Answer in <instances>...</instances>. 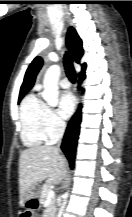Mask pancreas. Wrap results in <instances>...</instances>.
I'll list each match as a JSON object with an SVG mask.
<instances>
[{
  "label": "pancreas",
  "mask_w": 132,
  "mask_h": 217,
  "mask_svg": "<svg viewBox=\"0 0 132 217\" xmlns=\"http://www.w3.org/2000/svg\"><path fill=\"white\" fill-rule=\"evenodd\" d=\"M51 190V185L49 183H45L42 186L41 194H40V204L46 206L48 199V192ZM56 212V200L54 197L51 198L49 207L44 211L43 217H55Z\"/></svg>",
  "instance_id": "obj_1"
}]
</instances>
